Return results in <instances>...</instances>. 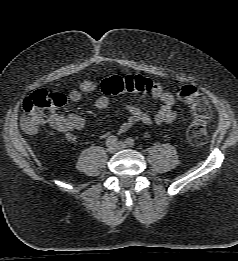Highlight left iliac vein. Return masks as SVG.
<instances>
[{"label":"left iliac vein","mask_w":238,"mask_h":261,"mask_svg":"<svg viewBox=\"0 0 238 261\" xmlns=\"http://www.w3.org/2000/svg\"><path fill=\"white\" fill-rule=\"evenodd\" d=\"M117 148H118V149H124V148H126V144H125L124 142H119V143L117 144Z\"/></svg>","instance_id":"4c4485c4"}]
</instances>
